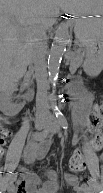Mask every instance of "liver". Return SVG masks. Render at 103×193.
Masks as SVG:
<instances>
[{
  "mask_svg": "<svg viewBox=\"0 0 103 193\" xmlns=\"http://www.w3.org/2000/svg\"><path fill=\"white\" fill-rule=\"evenodd\" d=\"M72 0H1V75L16 82L30 62L32 38L44 34L60 10L72 12Z\"/></svg>",
  "mask_w": 103,
  "mask_h": 193,
  "instance_id": "6515ba94",
  "label": "liver"
}]
</instances>
